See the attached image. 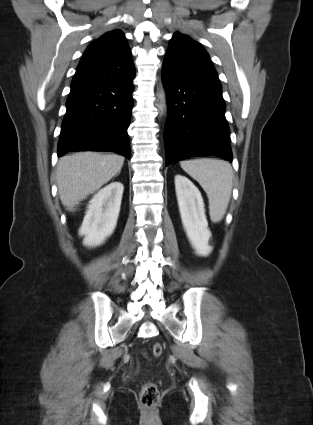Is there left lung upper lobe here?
Returning a JSON list of instances; mask_svg holds the SVG:
<instances>
[{
    "instance_id": "1",
    "label": "left lung upper lobe",
    "mask_w": 313,
    "mask_h": 425,
    "mask_svg": "<svg viewBox=\"0 0 313 425\" xmlns=\"http://www.w3.org/2000/svg\"><path fill=\"white\" fill-rule=\"evenodd\" d=\"M165 59L191 73L218 78L208 53L200 43L185 34L175 33L170 41Z\"/></svg>"
}]
</instances>
